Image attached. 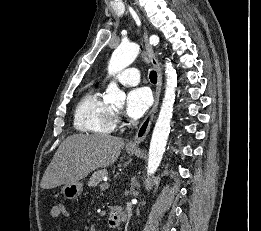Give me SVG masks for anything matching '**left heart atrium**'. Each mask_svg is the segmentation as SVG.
<instances>
[{
  "label": "left heart atrium",
  "mask_w": 261,
  "mask_h": 231,
  "mask_svg": "<svg viewBox=\"0 0 261 231\" xmlns=\"http://www.w3.org/2000/svg\"><path fill=\"white\" fill-rule=\"evenodd\" d=\"M152 103L149 90L145 87L131 89L126 96L125 112L133 119L142 117Z\"/></svg>",
  "instance_id": "left-heart-atrium-1"
}]
</instances>
